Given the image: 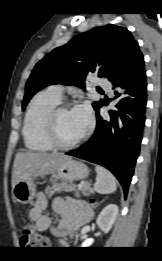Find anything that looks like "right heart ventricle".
Listing matches in <instances>:
<instances>
[{"instance_id":"1","label":"right heart ventricle","mask_w":162,"mask_h":261,"mask_svg":"<svg viewBox=\"0 0 162 261\" xmlns=\"http://www.w3.org/2000/svg\"><path fill=\"white\" fill-rule=\"evenodd\" d=\"M61 97L51 91L37 93L30 101L23 122V139L25 146L32 151L47 152L52 150L45 133V118L49 111L60 103Z\"/></svg>"}]
</instances>
